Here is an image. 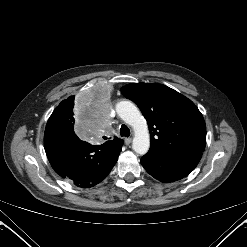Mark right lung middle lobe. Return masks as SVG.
Masks as SVG:
<instances>
[{
    "label": "right lung middle lobe",
    "mask_w": 247,
    "mask_h": 247,
    "mask_svg": "<svg viewBox=\"0 0 247 247\" xmlns=\"http://www.w3.org/2000/svg\"><path fill=\"white\" fill-rule=\"evenodd\" d=\"M72 105L65 106L58 110H54L52 116H50L48 122L62 124L71 128H74L75 120L72 116Z\"/></svg>",
    "instance_id": "dd1d6c3e"
}]
</instances>
